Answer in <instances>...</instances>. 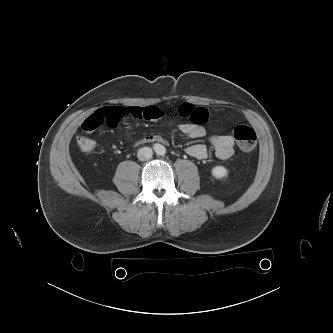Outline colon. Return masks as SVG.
<instances>
[{"instance_id":"5ec220e1","label":"colon","mask_w":333,"mask_h":333,"mask_svg":"<svg viewBox=\"0 0 333 333\" xmlns=\"http://www.w3.org/2000/svg\"><path fill=\"white\" fill-rule=\"evenodd\" d=\"M233 136L239 148L244 152H251L257 144V135L254 129L247 125H237L233 129ZM77 145L82 152H91L95 147V142L86 136L77 138Z\"/></svg>"}]
</instances>
